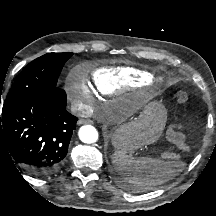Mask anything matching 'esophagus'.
Listing matches in <instances>:
<instances>
[{
  "label": "esophagus",
  "mask_w": 216,
  "mask_h": 216,
  "mask_svg": "<svg viewBox=\"0 0 216 216\" xmlns=\"http://www.w3.org/2000/svg\"><path fill=\"white\" fill-rule=\"evenodd\" d=\"M89 123H93V121L90 120V119H80V120L78 121V125L89 124Z\"/></svg>",
  "instance_id": "1"
}]
</instances>
